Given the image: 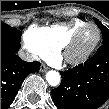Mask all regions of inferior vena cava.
Wrapping results in <instances>:
<instances>
[{
  "label": "inferior vena cava",
  "instance_id": "obj_1",
  "mask_svg": "<svg viewBox=\"0 0 109 109\" xmlns=\"http://www.w3.org/2000/svg\"><path fill=\"white\" fill-rule=\"evenodd\" d=\"M18 55L22 60L28 61V62H32V61H35L37 59V57L34 54L29 53V52H25L23 50H20L18 52Z\"/></svg>",
  "mask_w": 109,
  "mask_h": 109
}]
</instances>
